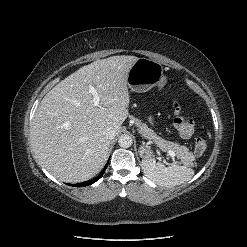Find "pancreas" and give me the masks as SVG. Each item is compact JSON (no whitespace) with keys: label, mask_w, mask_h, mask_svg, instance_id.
I'll return each mask as SVG.
<instances>
[{"label":"pancreas","mask_w":247,"mask_h":247,"mask_svg":"<svg viewBox=\"0 0 247 247\" xmlns=\"http://www.w3.org/2000/svg\"><path fill=\"white\" fill-rule=\"evenodd\" d=\"M136 125L139 128L140 134L147 139L153 140L155 145L162 151L172 150L176 152V155L185 163H189L194 159L193 153L189 152V149L186 146H181L178 143H173L158 137L152 129L138 120H136Z\"/></svg>","instance_id":"obj_1"}]
</instances>
